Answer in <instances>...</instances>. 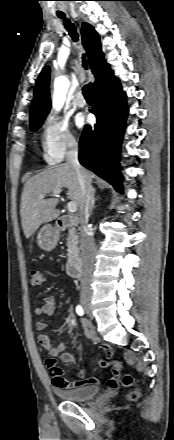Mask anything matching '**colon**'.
Masks as SVG:
<instances>
[{
  "instance_id": "obj_1",
  "label": "colon",
  "mask_w": 174,
  "mask_h": 440,
  "mask_svg": "<svg viewBox=\"0 0 174 440\" xmlns=\"http://www.w3.org/2000/svg\"><path fill=\"white\" fill-rule=\"evenodd\" d=\"M44 281H45V276H44V273L40 269H32L30 271V283H31L32 287H40L44 283ZM101 366H103V367L110 366L115 373H119L122 370V363L118 360H114L111 362L101 361ZM122 382L125 386L130 387V386H133L134 379L131 375L126 374L123 377ZM109 384L113 387H115L117 385L113 381H110ZM139 395H140V389L134 388L129 392L128 398L133 401V400H136L139 397Z\"/></svg>"
}]
</instances>
